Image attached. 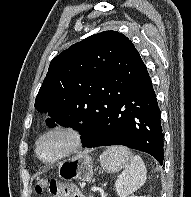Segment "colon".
Masks as SVG:
<instances>
[{"label": "colon", "instance_id": "colon-1", "mask_svg": "<svg viewBox=\"0 0 191 197\" xmlns=\"http://www.w3.org/2000/svg\"><path fill=\"white\" fill-rule=\"evenodd\" d=\"M35 190L37 193L49 191L53 195L61 193V188L50 177H40L37 179Z\"/></svg>", "mask_w": 191, "mask_h": 197}]
</instances>
